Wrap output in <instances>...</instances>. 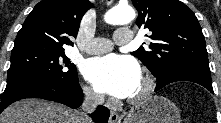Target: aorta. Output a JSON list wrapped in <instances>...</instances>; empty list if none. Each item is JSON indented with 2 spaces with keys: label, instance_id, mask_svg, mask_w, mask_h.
<instances>
[{
  "label": "aorta",
  "instance_id": "aorta-1",
  "mask_svg": "<svg viewBox=\"0 0 221 123\" xmlns=\"http://www.w3.org/2000/svg\"><path fill=\"white\" fill-rule=\"evenodd\" d=\"M135 11L130 6H117L105 14V22L112 25L128 24L135 19Z\"/></svg>",
  "mask_w": 221,
  "mask_h": 123
}]
</instances>
